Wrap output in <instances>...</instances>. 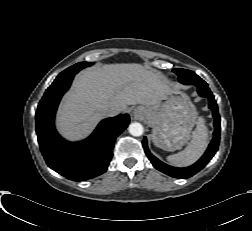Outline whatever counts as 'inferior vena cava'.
Listing matches in <instances>:
<instances>
[{"label":"inferior vena cava","mask_w":252,"mask_h":231,"mask_svg":"<svg viewBox=\"0 0 252 231\" xmlns=\"http://www.w3.org/2000/svg\"><path fill=\"white\" fill-rule=\"evenodd\" d=\"M102 112L108 116H114L119 113V109L115 107H104Z\"/></svg>","instance_id":"inferior-vena-cava-1"}]
</instances>
